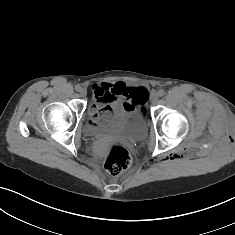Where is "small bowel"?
Wrapping results in <instances>:
<instances>
[{"label":"small bowel","mask_w":235,"mask_h":235,"mask_svg":"<svg viewBox=\"0 0 235 235\" xmlns=\"http://www.w3.org/2000/svg\"><path fill=\"white\" fill-rule=\"evenodd\" d=\"M138 88L141 87L127 86L123 82L95 84L93 86V98L91 101L92 114L97 116L99 110L106 107L112 112L117 108L127 110L126 105L129 102V98ZM122 99L125 101L121 102Z\"/></svg>","instance_id":"small-bowel-1"}]
</instances>
